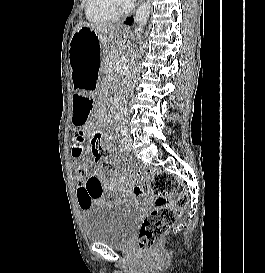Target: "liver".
Wrapping results in <instances>:
<instances>
[{
  "instance_id": "obj_1",
  "label": "liver",
  "mask_w": 265,
  "mask_h": 273,
  "mask_svg": "<svg viewBox=\"0 0 265 273\" xmlns=\"http://www.w3.org/2000/svg\"><path fill=\"white\" fill-rule=\"evenodd\" d=\"M81 27H87L98 33L101 37L108 38L111 42L116 41V37L120 31V25L113 26L103 23L80 22L75 26L72 35L77 32L78 29H80Z\"/></svg>"
}]
</instances>
